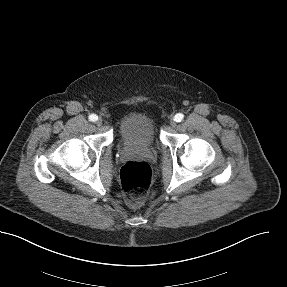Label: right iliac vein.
Listing matches in <instances>:
<instances>
[{"mask_svg":"<svg viewBox=\"0 0 287 287\" xmlns=\"http://www.w3.org/2000/svg\"><path fill=\"white\" fill-rule=\"evenodd\" d=\"M96 124H97L98 126H100V125L102 124V120H101V119H98L97 122H96Z\"/></svg>","mask_w":287,"mask_h":287,"instance_id":"1","label":"right iliac vein"}]
</instances>
